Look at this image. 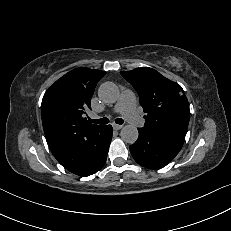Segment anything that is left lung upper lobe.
Wrapping results in <instances>:
<instances>
[{
  "mask_svg": "<svg viewBox=\"0 0 231 231\" xmlns=\"http://www.w3.org/2000/svg\"><path fill=\"white\" fill-rule=\"evenodd\" d=\"M120 73L136 89L147 113L143 128L184 140L190 110L182 87L148 67Z\"/></svg>",
  "mask_w": 231,
  "mask_h": 231,
  "instance_id": "5c2ea615",
  "label": "left lung upper lobe"
}]
</instances>
